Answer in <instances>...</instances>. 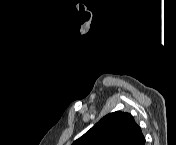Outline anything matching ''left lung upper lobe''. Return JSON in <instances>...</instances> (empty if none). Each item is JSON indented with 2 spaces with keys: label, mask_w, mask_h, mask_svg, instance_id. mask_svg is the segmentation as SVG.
Instances as JSON below:
<instances>
[{
  "label": "left lung upper lobe",
  "mask_w": 176,
  "mask_h": 145,
  "mask_svg": "<svg viewBox=\"0 0 176 145\" xmlns=\"http://www.w3.org/2000/svg\"><path fill=\"white\" fill-rule=\"evenodd\" d=\"M141 128L129 113L116 111L104 116L72 145H144Z\"/></svg>",
  "instance_id": "1"
}]
</instances>
